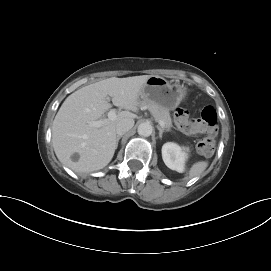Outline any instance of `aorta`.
I'll return each mask as SVG.
<instances>
[{
    "mask_svg": "<svg viewBox=\"0 0 271 271\" xmlns=\"http://www.w3.org/2000/svg\"><path fill=\"white\" fill-rule=\"evenodd\" d=\"M153 127L149 122H143L138 126L137 132L140 136L148 137L152 134Z\"/></svg>",
    "mask_w": 271,
    "mask_h": 271,
    "instance_id": "aorta-1",
    "label": "aorta"
}]
</instances>
